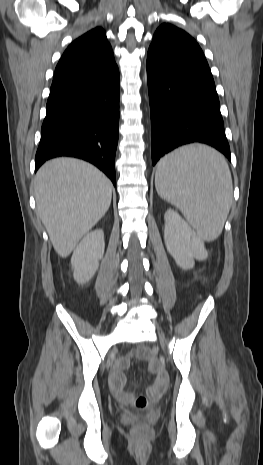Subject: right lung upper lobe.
Instances as JSON below:
<instances>
[{
    "instance_id": "cb5924a9",
    "label": "right lung upper lobe",
    "mask_w": 263,
    "mask_h": 465,
    "mask_svg": "<svg viewBox=\"0 0 263 465\" xmlns=\"http://www.w3.org/2000/svg\"><path fill=\"white\" fill-rule=\"evenodd\" d=\"M116 68L106 33L97 27L73 41L65 50L56 66L52 86L103 76Z\"/></svg>"
}]
</instances>
